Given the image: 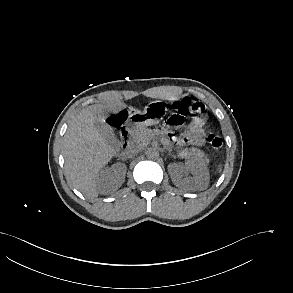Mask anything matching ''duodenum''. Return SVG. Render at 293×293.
I'll use <instances>...</instances> for the list:
<instances>
[{"label": "duodenum", "instance_id": "1", "mask_svg": "<svg viewBox=\"0 0 293 293\" xmlns=\"http://www.w3.org/2000/svg\"><path fill=\"white\" fill-rule=\"evenodd\" d=\"M131 126H125L120 130L121 150L124 151L130 144Z\"/></svg>", "mask_w": 293, "mask_h": 293}]
</instances>
